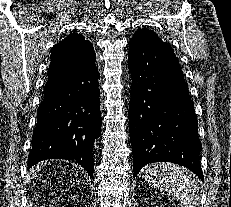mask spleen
<instances>
[{
    "mask_svg": "<svg viewBox=\"0 0 231 207\" xmlns=\"http://www.w3.org/2000/svg\"><path fill=\"white\" fill-rule=\"evenodd\" d=\"M145 180L154 188L169 192L184 205L193 207L199 200V190L191 175L174 164H150L143 169Z\"/></svg>",
    "mask_w": 231,
    "mask_h": 207,
    "instance_id": "1",
    "label": "spleen"
}]
</instances>
